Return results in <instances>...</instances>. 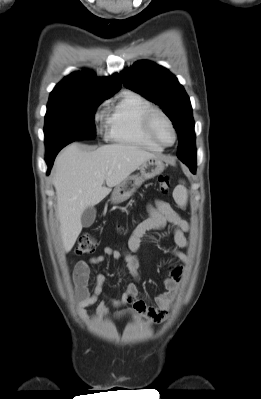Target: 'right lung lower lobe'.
I'll return each instance as SVG.
<instances>
[{
	"label": "right lung lower lobe",
	"instance_id": "obj_1",
	"mask_svg": "<svg viewBox=\"0 0 261 399\" xmlns=\"http://www.w3.org/2000/svg\"><path fill=\"white\" fill-rule=\"evenodd\" d=\"M67 144H69V143H63V144L56 145V146L46 147V158H45V161H46V163L48 165V174L50 172V169L53 166V163H54L56 155Z\"/></svg>",
	"mask_w": 261,
	"mask_h": 399
}]
</instances>
